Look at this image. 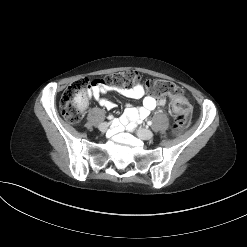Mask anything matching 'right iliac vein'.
<instances>
[{"mask_svg":"<svg viewBox=\"0 0 247 247\" xmlns=\"http://www.w3.org/2000/svg\"><path fill=\"white\" fill-rule=\"evenodd\" d=\"M109 125H110V124L107 123V122L101 123V124L99 125V130H100L101 132H105V131L108 129Z\"/></svg>","mask_w":247,"mask_h":247,"instance_id":"right-iliac-vein-1","label":"right iliac vein"}]
</instances>
